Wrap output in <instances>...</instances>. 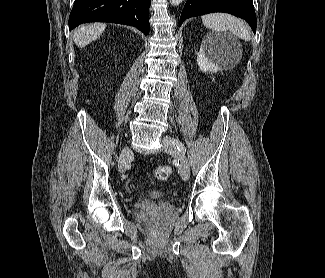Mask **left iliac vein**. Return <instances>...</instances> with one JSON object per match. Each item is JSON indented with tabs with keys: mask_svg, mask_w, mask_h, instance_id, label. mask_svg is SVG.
I'll return each instance as SVG.
<instances>
[{
	"mask_svg": "<svg viewBox=\"0 0 325 278\" xmlns=\"http://www.w3.org/2000/svg\"><path fill=\"white\" fill-rule=\"evenodd\" d=\"M164 151L179 161V173L183 180H188L190 176V166L187 158L177 149L171 138H164Z\"/></svg>",
	"mask_w": 325,
	"mask_h": 278,
	"instance_id": "1",
	"label": "left iliac vein"
}]
</instances>
